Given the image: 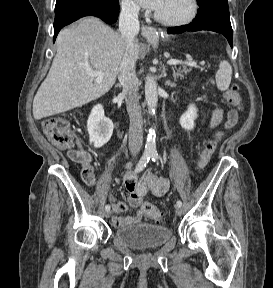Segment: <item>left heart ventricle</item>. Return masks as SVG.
<instances>
[{"mask_svg": "<svg viewBox=\"0 0 273 288\" xmlns=\"http://www.w3.org/2000/svg\"><path fill=\"white\" fill-rule=\"evenodd\" d=\"M191 8V0H162L156 13L165 19L176 20L186 17Z\"/></svg>", "mask_w": 273, "mask_h": 288, "instance_id": "obj_1", "label": "left heart ventricle"}]
</instances>
